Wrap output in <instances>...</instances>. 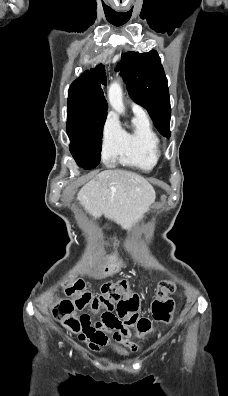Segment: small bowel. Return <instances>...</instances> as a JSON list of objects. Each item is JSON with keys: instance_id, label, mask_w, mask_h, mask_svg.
<instances>
[{"instance_id": "small-bowel-1", "label": "small bowel", "mask_w": 228, "mask_h": 396, "mask_svg": "<svg viewBox=\"0 0 228 396\" xmlns=\"http://www.w3.org/2000/svg\"><path fill=\"white\" fill-rule=\"evenodd\" d=\"M110 264L111 266L108 267L109 270L113 269L115 266L114 259H111ZM106 271H108V269ZM108 334L111 335L115 341L130 347L134 351L138 349L137 345L130 341L131 331L126 327L121 329H110L104 326L94 327L87 324L82 328L79 339L87 342L92 350L100 351L109 341Z\"/></svg>"}]
</instances>
